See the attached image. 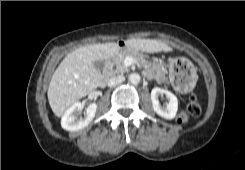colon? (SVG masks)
Returning <instances> with one entry per match:
<instances>
[{"instance_id": "colon-1", "label": "colon", "mask_w": 245, "mask_h": 170, "mask_svg": "<svg viewBox=\"0 0 245 170\" xmlns=\"http://www.w3.org/2000/svg\"><path fill=\"white\" fill-rule=\"evenodd\" d=\"M191 72V63L183 58L176 59L172 67V82L180 86L188 80ZM201 113V106L195 96L189 98L186 110L181 111L177 116L178 123H185L189 116L196 117Z\"/></svg>"}]
</instances>
